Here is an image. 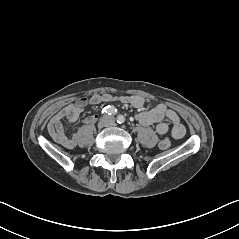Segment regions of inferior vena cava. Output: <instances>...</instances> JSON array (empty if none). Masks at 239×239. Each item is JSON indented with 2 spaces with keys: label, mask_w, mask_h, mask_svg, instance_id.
<instances>
[{
  "label": "inferior vena cava",
  "mask_w": 239,
  "mask_h": 239,
  "mask_svg": "<svg viewBox=\"0 0 239 239\" xmlns=\"http://www.w3.org/2000/svg\"><path fill=\"white\" fill-rule=\"evenodd\" d=\"M101 124L104 127H111L114 124V117H112V116L102 117Z\"/></svg>",
  "instance_id": "1"
}]
</instances>
